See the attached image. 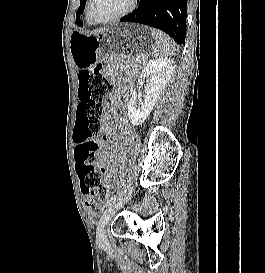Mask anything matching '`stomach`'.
<instances>
[{"mask_svg": "<svg viewBox=\"0 0 265 273\" xmlns=\"http://www.w3.org/2000/svg\"><path fill=\"white\" fill-rule=\"evenodd\" d=\"M157 30H149V25H106V30H97L91 35L80 31L72 33L70 52L79 68H85L98 61L100 56H113V59H100V64H131L138 56H153L159 45ZM103 49H129L130 51H102Z\"/></svg>", "mask_w": 265, "mask_h": 273, "instance_id": "1", "label": "stomach"}]
</instances>
